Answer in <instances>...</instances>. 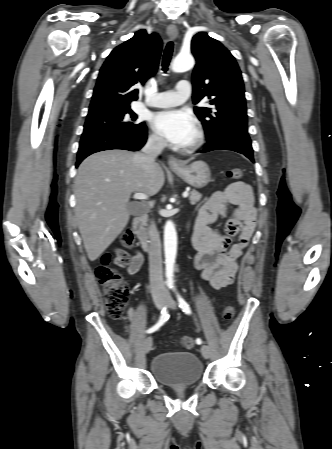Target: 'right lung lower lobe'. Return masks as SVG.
<instances>
[{
	"label": "right lung lower lobe",
	"mask_w": 332,
	"mask_h": 449,
	"mask_svg": "<svg viewBox=\"0 0 332 449\" xmlns=\"http://www.w3.org/2000/svg\"><path fill=\"white\" fill-rule=\"evenodd\" d=\"M146 140V127L132 135L104 133L83 137L80 141L76 167L84 158L95 152L111 149L137 151L143 147Z\"/></svg>",
	"instance_id": "1"
}]
</instances>
